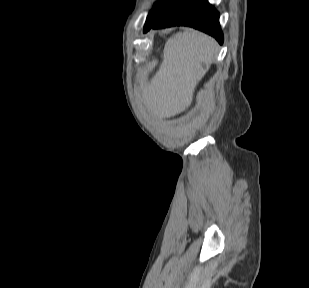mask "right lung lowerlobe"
<instances>
[{
  "label": "right lung lower lobe",
  "mask_w": 309,
  "mask_h": 288,
  "mask_svg": "<svg viewBox=\"0 0 309 288\" xmlns=\"http://www.w3.org/2000/svg\"><path fill=\"white\" fill-rule=\"evenodd\" d=\"M190 26L213 36L220 44L223 33L219 24V13L208 3V0H183L175 9L164 14L154 24L144 28H165L170 26Z\"/></svg>",
  "instance_id": "right-lung-lower-lobe-1"
}]
</instances>
